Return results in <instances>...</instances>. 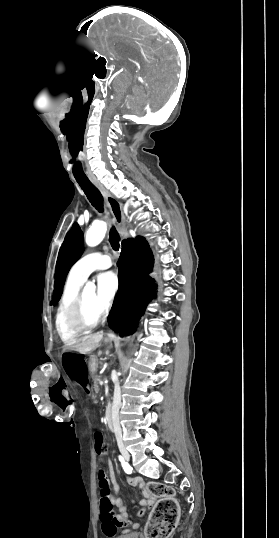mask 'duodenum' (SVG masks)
I'll return each mask as SVG.
<instances>
[{"mask_svg":"<svg viewBox=\"0 0 279 538\" xmlns=\"http://www.w3.org/2000/svg\"><path fill=\"white\" fill-rule=\"evenodd\" d=\"M91 372H92L93 374H96V373L98 372V366H97L96 364H93V365L91 366ZM105 408H106V410H105L104 417L106 418V423H108V424H107V427H108L109 429H112V428L114 427V424L112 423V418H111L112 404L107 403V404L105 405Z\"/></svg>","mask_w":279,"mask_h":538,"instance_id":"duodenum-1","label":"duodenum"}]
</instances>
